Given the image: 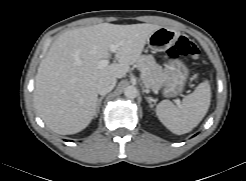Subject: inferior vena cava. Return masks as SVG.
I'll list each match as a JSON object with an SVG mask.
<instances>
[{
	"instance_id": "602c4592",
	"label": "inferior vena cava",
	"mask_w": 246,
	"mask_h": 181,
	"mask_svg": "<svg viewBox=\"0 0 246 181\" xmlns=\"http://www.w3.org/2000/svg\"><path fill=\"white\" fill-rule=\"evenodd\" d=\"M116 84V78L114 77H102L96 84L97 93L100 95H105L109 93Z\"/></svg>"
}]
</instances>
